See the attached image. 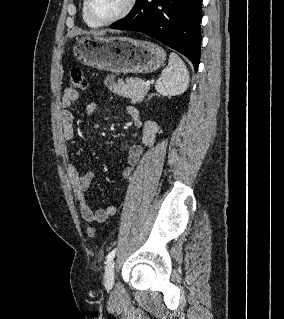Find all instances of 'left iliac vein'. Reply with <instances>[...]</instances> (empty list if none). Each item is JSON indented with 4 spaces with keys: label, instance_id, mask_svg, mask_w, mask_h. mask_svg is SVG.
<instances>
[{
    "label": "left iliac vein",
    "instance_id": "obj_1",
    "mask_svg": "<svg viewBox=\"0 0 284 319\" xmlns=\"http://www.w3.org/2000/svg\"><path fill=\"white\" fill-rule=\"evenodd\" d=\"M114 268L115 262L112 259L106 265L104 272V286L106 289H111L114 285Z\"/></svg>",
    "mask_w": 284,
    "mask_h": 319
}]
</instances>
